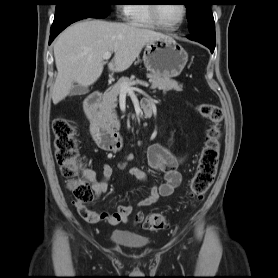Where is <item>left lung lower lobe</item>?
I'll return each instance as SVG.
<instances>
[{"instance_id": "obj_1", "label": "left lung lower lobe", "mask_w": 278, "mask_h": 278, "mask_svg": "<svg viewBox=\"0 0 278 278\" xmlns=\"http://www.w3.org/2000/svg\"><path fill=\"white\" fill-rule=\"evenodd\" d=\"M188 38L191 39V40H193V41H197V42H199V43L205 45V46L208 47V48L211 50V52L213 53L214 48H215V43H211V42L205 41V40H203V39H201V38H199V37H197V36H195V35H189Z\"/></svg>"}]
</instances>
